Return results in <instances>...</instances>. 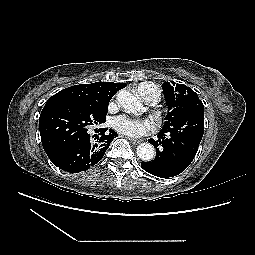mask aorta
<instances>
[{
	"label": "aorta",
	"mask_w": 255,
	"mask_h": 255,
	"mask_svg": "<svg viewBox=\"0 0 255 255\" xmlns=\"http://www.w3.org/2000/svg\"><path fill=\"white\" fill-rule=\"evenodd\" d=\"M117 101L124 110L129 112H134L140 107L137 98L126 90L118 92ZM136 152L142 161H151L155 157L154 147L147 142L139 144Z\"/></svg>",
	"instance_id": "1"
}]
</instances>
